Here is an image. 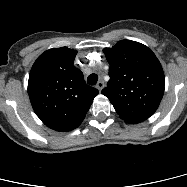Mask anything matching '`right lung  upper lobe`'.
<instances>
[{"label":"right lung upper lobe","mask_w":187,"mask_h":187,"mask_svg":"<svg viewBox=\"0 0 187 187\" xmlns=\"http://www.w3.org/2000/svg\"><path fill=\"white\" fill-rule=\"evenodd\" d=\"M76 54L67 47L49 49L37 58L29 74L28 94L35 113L60 132L77 128L99 93L73 65Z\"/></svg>","instance_id":"1"}]
</instances>
